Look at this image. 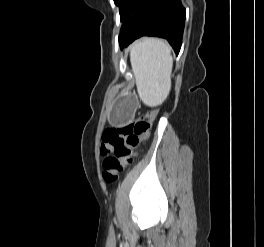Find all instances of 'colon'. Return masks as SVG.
Returning <instances> with one entry per match:
<instances>
[{
  "mask_svg": "<svg viewBox=\"0 0 264 247\" xmlns=\"http://www.w3.org/2000/svg\"><path fill=\"white\" fill-rule=\"evenodd\" d=\"M156 115V110H151L103 132L100 152L104 157L102 177L106 183L115 182L125 166L132 161L134 149L148 136Z\"/></svg>",
  "mask_w": 264,
  "mask_h": 247,
  "instance_id": "colon-1",
  "label": "colon"
}]
</instances>
